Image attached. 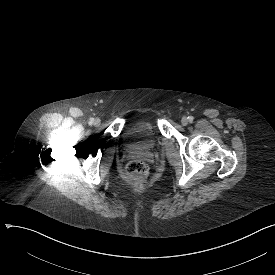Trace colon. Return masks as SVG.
<instances>
[{"label": "colon", "instance_id": "1", "mask_svg": "<svg viewBox=\"0 0 275 275\" xmlns=\"http://www.w3.org/2000/svg\"><path fill=\"white\" fill-rule=\"evenodd\" d=\"M146 163L142 160H134L128 163L127 172L133 177H142L146 173Z\"/></svg>", "mask_w": 275, "mask_h": 275}]
</instances>
